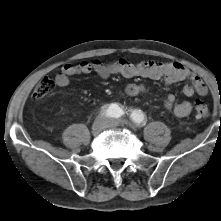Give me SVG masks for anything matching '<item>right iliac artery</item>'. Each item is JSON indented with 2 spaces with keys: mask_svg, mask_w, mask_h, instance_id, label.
I'll return each instance as SVG.
<instances>
[{
  "mask_svg": "<svg viewBox=\"0 0 221 221\" xmlns=\"http://www.w3.org/2000/svg\"><path fill=\"white\" fill-rule=\"evenodd\" d=\"M123 114H124V111L117 104L107 105L103 107V109L101 110V115H105L107 117L118 118L122 116Z\"/></svg>",
  "mask_w": 221,
  "mask_h": 221,
  "instance_id": "right-iliac-artery-1",
  "label": "right iliac artery"
}]
</instances>
